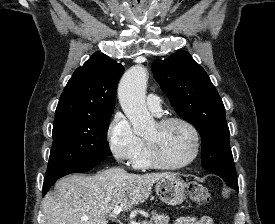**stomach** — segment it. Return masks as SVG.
Wrapping results in <instances>:
<instances>
[{"label": "stomach", "mask_w": 275, "mask_h": 224, "mask_svg": "<svg viewBox=\"0 0 275 224\" xmlns=\"http://www.w3.org/2000/svg\"><path fill=\"white\" fill-rule=\"evenodd\" d=\"M186 188L187 184L182 178L168 174L157 182L155 192L165 204L176 206L185 201Z\"/></svg>", "instance_id": "obj_1"}]
</instances>
